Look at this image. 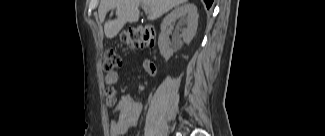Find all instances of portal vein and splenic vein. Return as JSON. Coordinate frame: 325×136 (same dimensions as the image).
<instances>
[{
    "instance_id": "portal-vein-and-splenic-vein-1",
    "label": "portal vein and splenic vein",
    "mask_w": 325,
    "mask_h": 136,
    "mask_svg": "<svg viewBox=\"0 0 325 136\" xmlns=\"http://www.w3.org/2000/svg\"><path fill=\"white\" fill-rule=\"evenodd\" d=\"M143 9H144L146 12H148V11H149V9H148L147 5H143Z\"/></svg>"
}]
</instances>
